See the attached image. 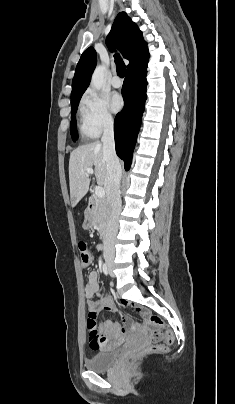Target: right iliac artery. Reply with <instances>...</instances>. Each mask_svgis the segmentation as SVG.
<instances>
[{
  "label": "right iliac artery",
  "instance_id": "82829eb1",
  "mask_svg": "<svg viewBox=\"0 0 235 404\" xmlns=\"http://www.w3.org/2000/svg\"><path fill=\"white\" fill-rule=\"evenodd\" d=\"M103 272H104L105 275L109 274V270H108V267H107L106 263L103 264Z\"/></svg>",
  "mask_w": 235,
  "mask_h": 404
}]
</instances>
